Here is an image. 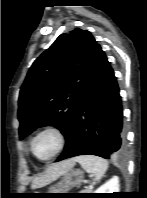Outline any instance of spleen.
Listing matches in <instances>:
<instances>
[{"label":"spleen","instance_id":"spleen-1","mask_svg":"<svg viewBox=\"0 0 147 198\" xmlns=\"http://www.w3.org/2000/svg\"><path fill=\"white\" fill-rule=\"evenodd\" d=\"M81 167L99 181L108 169V161L94 155H82L75 158Z\"/></svg>","mask_w":147,"mask_h":198}]
</instances>
